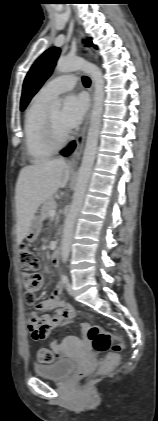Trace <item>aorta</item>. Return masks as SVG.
Segmentation results:
<instances>
[{
    "label": "aorta",
    "instance_id": "1",
    "mask_svg": "<svg viewBox=\"0 0 158 421\" xmlns=\"http://www.w3.org/2000/svg\"><path fill=\"white\" fill-rule=\"evenodd\" d=\"M55 69L60 73L81 70L87 73L92 78L94 83V104L90 118L86 145L81 166L78 172L73 201L65 218L63 228L61 256L62 260L65 262L68 259L70 253L75 219L82 207L86 188L95 160L105 93L104 79L101 70L96 65L89 63L82 58H60L57 61ZM60 107L61 103L58 100L51 104V108L54 110H58Z\"/></svg>",
    "mask_w": 158,
    "mask_h": 421
}]
</instances>
